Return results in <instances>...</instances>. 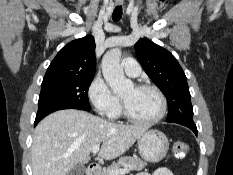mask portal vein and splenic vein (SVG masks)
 <instances>
[{
  "instance_id": "portal-vein-and-splenic-vein-1",
  "label": "portal vein and splenic vein",
  "mask_w": 233,
  "mask_h": 175,
  "mask_svg": "<svg viewBox=\"0 0 233 175\" xmlns=\"http://www.w3.org/2000/svg\"><path fill=\"white\" fill-rule=\"evenodd\" d=\"M99 149H100V145L93 146L92 153L97 154L99 152ZM128 172H129V170L127 168L118 169V170H110L109 175H124Z\"/></svg>"
}]
</instances>
